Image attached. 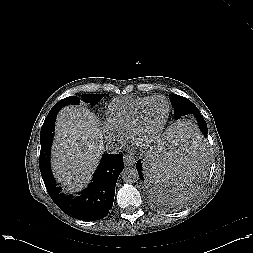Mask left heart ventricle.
Returning a JSON list of instances; mask_svg holds the SVG:
<instances>
[{
    "label": "left heart ventricle",
    "mask_w": 253,
    "mask_h": 253,
    "mask_svg": "<svg viewBox=\"0 0 253 253\" xmlns=\"http://www.w3.org/2000/svg\"><path fill=\"white\" fill-rule=\"evenodd\" d=\"M167 109V102L161 98L155 99L146 107L139 128L140 138L147 137L159 128L166 117Z\"/></svg>",
    "instance_id": "1"
}]
</instances>
